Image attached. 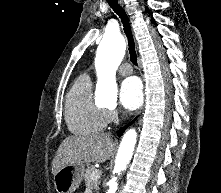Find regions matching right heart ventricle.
I'll return each instance as SVG.
<instances>
[{"label": "right heart ventricle", "mask_w": 221, "mask_h": 193, "mask_svg": "<svg viewBox=\"0 0 221 193\" xmlns=\"http://www.w3.org/2000/svg\"><path fill=\"white\" fill-rule=\"evenodd\" d=\"M65 117L69 130L75 134H88L105 128L106 109L95 102L88 76H80L67 93Z\"/></svg>", "instance_id": "obj_1"}]
</instances>
